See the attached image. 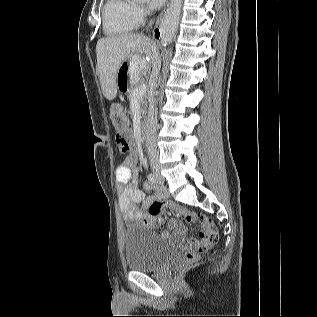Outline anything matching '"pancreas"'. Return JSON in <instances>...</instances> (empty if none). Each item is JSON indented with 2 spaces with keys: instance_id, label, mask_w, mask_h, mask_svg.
I'll return each instance as SVG.
<instances>
[{
  "instance_id": "pancreas-1",
  "label": "pancreas",
  "mask_w": 317,
  "mask_h": 317,
  "mask_svg": "<svg viewBox=\"0 0 317 317\" xmlns=\"http://www.w3.org/2000/svg\"><path fill=\"white\" fill-rule=\"evenodd\" d=\"M137 73V76H139V72H136ZM141 80H139V82H134L132 83V85L129 87V91H128V95H127V98L129 100H131L133 98V93H136L137 92V89H140L141 88ZM146 103V98L145 97H141L140 98V104L141 106L143 107L144 104ZM141 112H143V108L141 109Z\"/></svg>"
}]
</instances>
